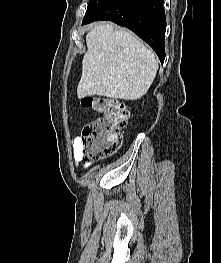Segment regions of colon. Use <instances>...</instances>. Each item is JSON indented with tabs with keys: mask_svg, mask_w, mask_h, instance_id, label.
Returning <instances> with one entry per match:
<instances>
[{
	"mask_svg": "<svg viewBox=\"0 0 221 263\" xmlns=\"http://www.w3.org/2000/svg\"><path fill=\"white\" fill-rule=\"evenodd\" d=\"M81 104L100 113L83 130L84 159L98 160L111 155L121 142V132L129 119L128 109L122 102L103 96H85Z\"/></svg>",
	"mask_w": 221,
	"mask_h": 263,
	"instance_id": "colon-1",
	"label": "colon"
}]
</instances>
